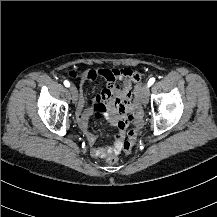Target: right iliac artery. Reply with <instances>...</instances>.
<instances>
[{"instance_id": "1", "label": "right iliac artery", "mask_w": 217, "mask_h": 217, "mask_svg": "<svg viewBox=\"0 0 217 217\" xmlns=\"http://www.w3.org/2000/svg\"><path fill=\"white\" fill-rule=\"evenodd\" d=\"M64 85H65L66 87H69V86H70L69 81L65 80V81H64Z\"/></svg>"}]
</instances>
